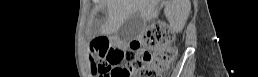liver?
<instances>
[{
  "label": "liver",
  "instance_id": "6515ba94",
  "mask_svg": "<svg viewBox=\"0 0 258 77\" xmlns=\"http://www.w3.org/2000/svg\"><path fill=\"white\" fill-rule=\"evenodd\" d=\"M170 8L166 16L171 21V11L175 9V18L178 22H185L188 17L190 0H107L108 19L104 26L105 33L116 32L125 20L139 13L144 22L158 17L157 5Z\"/></svg>",
  "mask_w": 258,
  "mask_h": 77
}]
</instances>
